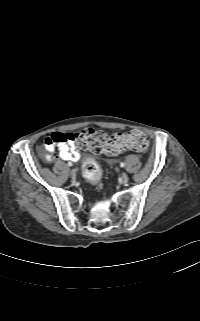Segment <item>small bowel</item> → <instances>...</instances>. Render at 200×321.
Returning <instances> with one entry per match:
<instances>
[{"label":"small bowel","instance_id":"1","mask_svg":"<svg viewBox=\"0 0 200 321\" xmlns=\"http://www.w3.org/2000/svg\"><path fill=\"white\" fill-rule=\"evenodd\" d=\"M44 159L52 162L57 158L68 161H76L79 158L78 145L71 133H53L45 141L40 149Z\"/></svg>","mask_w":200,"mask_h":321}]
</instances>
